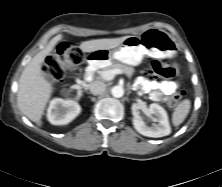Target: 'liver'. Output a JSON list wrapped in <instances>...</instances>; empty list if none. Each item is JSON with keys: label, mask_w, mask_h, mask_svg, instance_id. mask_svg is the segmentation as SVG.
I'll use <instances>...</instances> for the list:
<instances>
[{"label": "liver", "mask_w": 222, "mask_h": 187, "mask_svg": "<svg viewBox=\"0 0 222 187\" xmlns=\"http://www.w3.org/2000/svg\"><path fill=\"white\" fill-rule=\"evenodd\" d=\"M62 37L59 34L52 38L47 46L27 64L19 79L17 92L18 107L33 122H40L53 91L51 83L45 78L41 70L42 63ZM127 37L129 36L89 40L82 42L79 48L83 52H93L99 49L110 50L119 46Z\"/></svg>", "instance_id": "liver-1"}]
</instances>
